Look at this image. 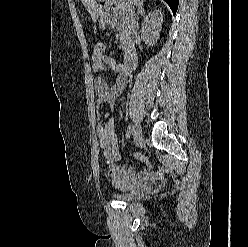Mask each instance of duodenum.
Listing matches in <instances>:
<instances>
[{
  "label": "duodenum",
  "mask_w": 248,
  "mask_h": 247,
  "mask_svg": "<svg viewBox=\"0 0 248 247\" xmlns=\"http://www.w3.org/2000/svg\"><path fill=\"white\" fill-rule=\"evenodd\" d=\"M103 21L109 26H115L112 15L108 13L102 14ZM138 63V53L135 48L134 42L129 38L127 40L125 59H124V70L130 72L134 70Z\"/></svg>",
  "instance_id": "1"
}]
</instances>
